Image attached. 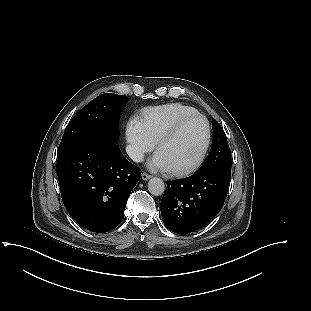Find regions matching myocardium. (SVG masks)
I'll return each instance as SVG.
<instances>
[{"mask_svg": "<svg viewBox=\"0 0 311 311\" xmlns=\"http://www.w3.org/2000/svg\"><path fill=\"white\" fill-rule=\"evenodd\" d=\"M193 118H200L205 123V128H206L205 143L203 145V148H202L200 154L198 155V157L192 163H190L189 165L184 166V167L169 169V172L172 175L180 176V175L188 174V173L194 171L195 169H197L202 164V162L204 161V159H205V157L207 155V152L209 150L210 144H211L212 133H211L210 123H209L208 119L203 114H201L199 112L193 113V114H189V115H186V116L178 119L156 141V150L158 151L162 144H164L165 142H167V141L171 140L172 138H174L176 136V134L179 132V130L181 129V127L186 122L190 121Z\"/></svg>", "mask_w": 311, "mask_h": 311, "instance_id": "obj_1", "label": "myocardium"}]
</instances>
